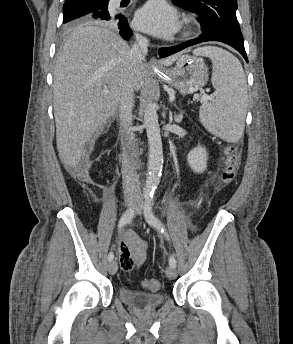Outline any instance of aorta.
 I'll return each instance as SVG.
<instances>
[{
  "label": "aorta",
  "mask_w": 293,
  "mask_h": 344,
  "mask_svg": "<svg viewBox=\"0 0 293 344\" xmlns=\"http://www.w3.org/2000/svg\"><path fill=\"white\" fill-rule=\"evenodd\" d=\"M144 125L149 143V174L146 179L144 194L151 196L160 182L163 164V148L155 104L149 102L144 111Z\"/></svg>",
  "instance_id": "aorta-1"
}]
</instances>
